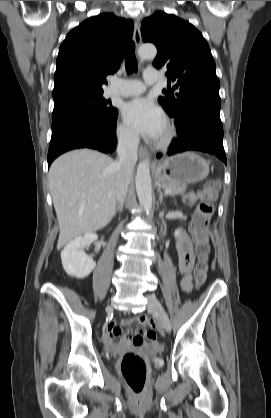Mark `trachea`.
Listing matches in <instances>:
<instances>
[{"mask_svg": "<svg viewBox=\"0 0 271 418\" xmlns=\"http://www.w3.org/2000/svg\"><path fill=\"white\" fill-rule=\"evenodd\" d=\"M125 65L128 74L137 71L138 63L134 52V42L130 41L125 49Z\"/></svg>", "mask_w": 271, "mask_h": 418, "instance_id": "3493384b", "label": "trachea"}]
</instances>
